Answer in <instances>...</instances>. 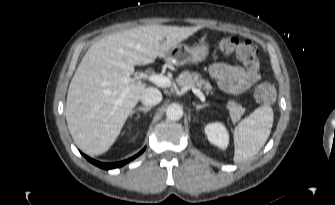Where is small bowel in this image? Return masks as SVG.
<instances>
[{
  "mask_svg": "<svg viewBox=\"0 0 335 205\" xmlns=\"http://www.w3.org/2000/svg\"><path fill=\"white\" fill-rule=\"evenodd\" d=\"M209 74L217 80L218 86L223 92L232 95L244 93L261 78L258 70L245 69L240 65L224 62L210 65Z\"/></svg>",
  "mask_w": 335,
  "mask_h": 205,
  "instance_id": "obj_1",
  "label": "small bowel"
}]
</instances>
